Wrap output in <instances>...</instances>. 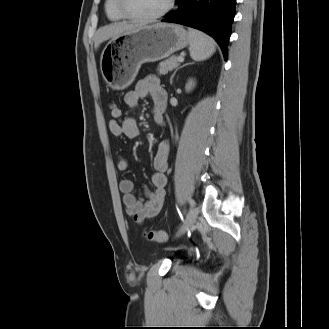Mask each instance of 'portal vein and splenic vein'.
<instances>
[{
    "mask_svg": "<svg viewBox=\"0 0 329 329\" xmlns=\"http://www.w3.org/2000/svg\"><path fill=\"white\" fill-rule=\"evenodd\" d=\"M184 61V58L182 57V56H180L179 58H178V62H183Z\"/></svg>",
    "mask_w": 329,
    "mask_h": 329,
    "instance_id": "obj_1",
    "label": "portal vein and splenic vein"
}]
</instances>
